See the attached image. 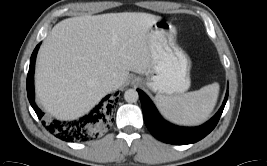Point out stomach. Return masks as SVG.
Masks as SVG:
<instances>
[{"label":"stomach","instance_id":"stomach-1","mask_svg":"<svg viewBox=\"0 0 267 166\" xmlns=\"http://www.w3.org/2000/svg\"><path fill=\"white\" fill-rule=\"evenodd\" d=\"M151 65L147 86L159 94L174 96L190 87L191 61L176 42L171 24L157 21L150 32Z\"/></svg>","mask_w":267,"mask_h":166}]
</instances>
